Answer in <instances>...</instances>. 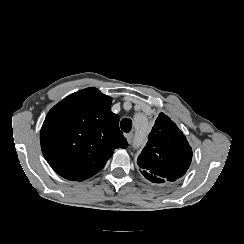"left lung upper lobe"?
I'll return each instance as SVG.
<instances>
[{
	"label": "left lung upper lobe",
	"mask_w": 244,
	"mask_h": 244,
	"mask_svg": "<svg viewBox=\"0 0 244 244\" xmlns=\"http://www.w3.org/2000/svg\"><path fill=\"white\" fill-rule=\"evenodd\" d=\"M192 155L184 134L168 116L160 113L137 164L151 182H174L186 173Z\"/></svg>",
	"instance_id": "obj_1"
}]
</instances>
